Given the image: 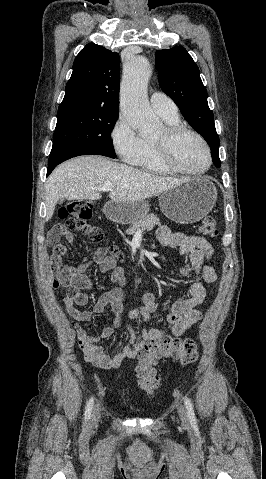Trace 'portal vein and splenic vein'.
I'll list each match as a JSON object with an SVG mask.
<instances>
[{"instance_id":"1","label":"portal vein and splenic vein","mask_w":266,"mask_h":479,"mask_svg":"<svg viewBox=\"0 0 266 479\" xmlns=\"http://www.w3.org/2000/svg\"><path fill=\"white\" fill-rule=\"evenodd\" d=\"M113 189V186L112 185H104L102 188H100L101 191L103 192H108V191H111Z\"/></svg>"}]
</instances>
